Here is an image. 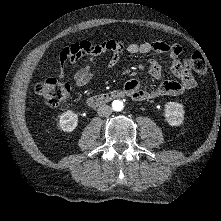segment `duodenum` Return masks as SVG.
Wrapping results in <instances>:
<instances>
[{"mask_svg":"<svg viewBox=\"0 0 221 221\" xmlns=\"http://www.w3.org/2000/svg\"><path fill=\"white\" fill-rule=\"evenodd\" d=\"M126 95L127 93L124 90H113L104 94L90 96L87 99V104L92 108H96L114 99L122 98Z\"/></svg>","mask_w":221,"mask_h":221,"instance_id":"duodenum-1","label":"duodenum"}]
</instances>
